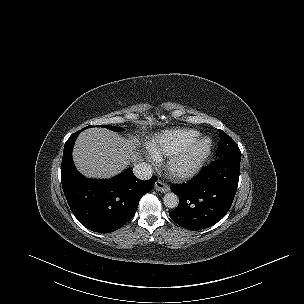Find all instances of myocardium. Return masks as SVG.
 Masks as SVG:
<instances>
[{
	"label": "myocardium",
	"mask_w": 304,
	"mask_h": 304,
	"mask_svg": "<svg viewBox=\"0 0 304 304\" xmlns=\"http://www.w3.org/2000/svg\"><path fill=\"white\" fill-rule=\"evenodd\" d=\"M212 151V140L202 137L194 141L168 162L169 174L177 180L195 176L204 166Z\"/></svg>",
	"instance_id": "1"
}]
</instances>
